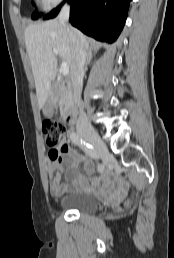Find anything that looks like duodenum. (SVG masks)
Masks as SVG:
<instances>
[{"instance_id": "duodenum-1", "label": "duodenum", "mask_w": 174, "mask_h": 258, "mask_svg": "<svg viewBox=\"0 0 174 258\" xmlns=\"http://www.w3.org/2000/svg\"><path fill=\"white\" fill-rule=\"evenodd\" d=\"M56 100H59L63 97H67L69 99V104L65 109V120L68 124H74L77 119V108L75 104L71 101L70 96L72 93V87L69 84L61 85L54 89L53 91Z\"/></svg>"}]
</instances>
